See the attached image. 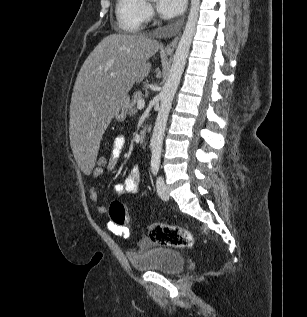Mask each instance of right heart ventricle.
<instances>
[{
	"label": "right heart ventricle",
	"mask_w": 307,
	"mask_h": 317,
	"mask_svg": "<svg viewBox=\"0 0 307 317\" xmlns=\"http://www.w3.org/2000/svg\"><path fill=\"white\" fill-rule=\"evenodd\" d=\"M145 5L144 0H116L119 27L126 32H139L145 21Z\"/></svg>",
	"instance_id": "right-heart-ventricle-1"
}]
</instances>
